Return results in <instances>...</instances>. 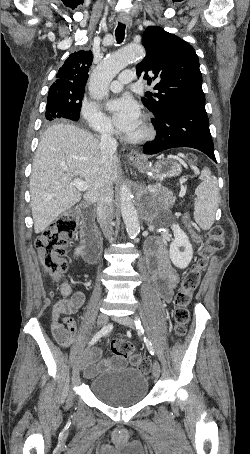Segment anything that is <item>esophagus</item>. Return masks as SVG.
Segmentation results:
<instances>
[{
  "instance_id": "esophagus-1",
  "label": "esophagus",
  "mask_w": 250,
  "mask_h": 454,
  "mask_svg": "<svg viewBox=\"0 0 250 454\" xmlns=\"http://www.w3.org/2000/svg\"><path fill=\"white\" fill-rule=\"evenodd\" d=\"M119 20H120V22L126 24L129 28L132 26V19L128 15H120ZM129 158L131 160H140V159H142V156L138 150H132L129 153Z\"/></svg>"
}]
</instances>
